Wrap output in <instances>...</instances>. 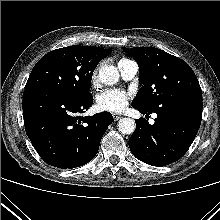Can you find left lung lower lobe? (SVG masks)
I'll list each match as a JSON object with an SVG mask.
<instances>
[{
  "label": "left lung lower lobe",
  "instance_id": "0a47b994",
  "mask_svg": "<svg viewBox=\"0 0 220 220\" xmlns=\"http://www.w3.org/2000/svg\"><path fill=\"white\" fill-rule=\"evenodd\" d=\"M142 114H157L155 123L135 120L136 130L129 147L139 160L152 166H166L179 160L191 146L201 123L202 93H185L165 101L152 111L136 107Z\"/></svg>",
  "mask_w": 220,
  "mask_h": 220
}]
</instances>
